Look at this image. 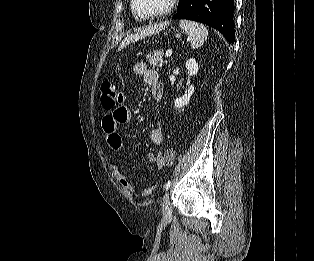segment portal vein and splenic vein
I'll list each match as a JSON object with an SVG mask.
<instances>
[{
    "mask_svg": "<svg viewBox=\"0 0 314 261\" xmlns=\"http://www.w3.org/2000/svg\"><path fill=\"white\" fill-rule=\"evenodd\" d=\"M171 55H172V50H168V51L166 52L165 57H170Z\"/></svg>",
    "mask_w": 314,
    "mask_h": 261,
    "instance_id": "obj_1",
    "label": "portal vein and splenic vein"
}]
</instances>
